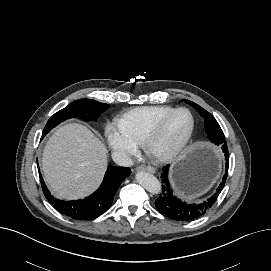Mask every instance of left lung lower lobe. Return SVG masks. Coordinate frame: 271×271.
<instances>
[{
  "label": "left lung lower lobe",
  "instance_id": "obj_1",
  "mask_svg": "<svg viewBox=\"0 0 271 271\" xmlns=\"http://www.w3.org/2000/svg\"><path fill=\"white\" fill-rule=\"evenodd\" d=\"M221 149L224 152L226 160V170L223 176V181L220 183L216 193L212 195L209 199L199 203V204H187L181 202L176 196L173 195L172 190L168 181V169L169 165L163 168V173L161 175L163 191L162 195L159 196L155 201V206L157 210L164 216L177 220V221H192L201 216H203L216 202L218 194L222 191L228 172V150L226 143L221 145Z\"/></svg>",
  "mask_w": 271,
  "mask_h": 271
}]
</instances>
